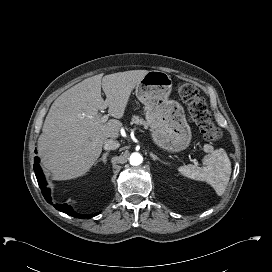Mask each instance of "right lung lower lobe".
Here are the masks:
<instances>
[{
	"label": "right lung lower lobe",
	"mask_w": 272,
	"mask_h": 272,
	"mask_svg": "<svg viewBox=\"0 0 272 272\" xmlns=\"http://www.w3.org/2000/svg\"><path fill=\"white\" fill-rule=\"evenodd\" d=\"M37 152V151H35ZM34 171H35V175L38 179V184L40 186V189L42 190V194L44 196V198L46 199V201L50 204H53L52 202V199H51V196H50V189L47 187V183L45 181V177H44V174L41 170V167L39 165V161L40 159L38 157H35L34 158ZM57 210L59 211H62L68 215H71L73 217H78V218H91V217H94L96 215H98V213L96 214H92V215H82V214H78L76 213L71 206L67 205V204H54L53 205Z\"/></svg>",
	"instance_id": "1"
}]
</instances>
